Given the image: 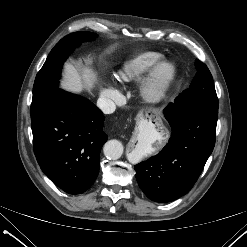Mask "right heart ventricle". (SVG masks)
I'll return each mask as SVG.
<instances>
[{
    "label": "right heart ventricle",
    "mask_w": 247,
    "mask_h": 247,
    "mask_svg": "<svg viewBox=\"0 0 247 247\" xmlns=\"http://www.w3.org/2000/svg\"><path fill=\"white\" fill-rule=\"evenodd\" d=\"M162 54L153 51L138 53L126 60L117 72V78L123 83L139 80L159 62Z\"/></svg>",
    "instance_id": "right-heart-ventricle-1"
}]
</instances>
